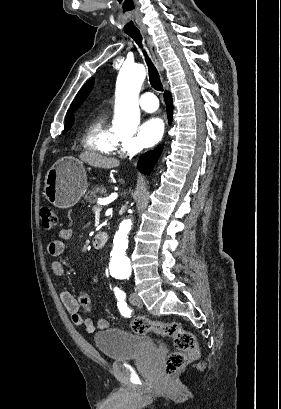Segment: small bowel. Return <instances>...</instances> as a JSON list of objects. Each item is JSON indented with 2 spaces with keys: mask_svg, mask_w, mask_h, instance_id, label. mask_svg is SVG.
<instances>
[{
  "mask_svg": "<svg viewBox=\"0 0 281 409\" xmlns=\"http://www.w3.org/2000/svg\"><path fill=\"white\" fill-rule=\"evenodd\" d=\"M73 232L70 228H63L59 231L58 237L52 240L48 246V252L52 256H60L64 253L66 242L72 238ZM51 269L58 277H63L65 269L63 264L54 260L51 263ZM97 279L94 278L91 281V285H95ZM62 303L66 310L70 314L71 321L74 325L83 327L87 332H94L95 330H103L108 328L109 323L106 319L100 318L94 322L91 318L87 317L81 312L84 309L86 312H91L92 304L90 298L83 294L76 298L66 287L63 288L60 293Z\"/></svg>",
  "mask_w": 281,
  "mask_h": 409,
  "instance_id": "obj_1",
  "label": "small bowel"
}]
</instances>
